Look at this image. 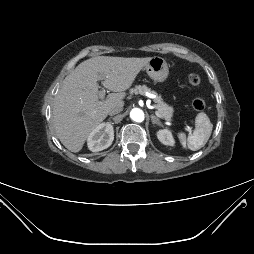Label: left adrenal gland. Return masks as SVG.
<instances>
[{"label":"left adrenal gland","instance_id":"obj_1","mask_svg":"<svg viewBox=\"0 0 254 254\" xmlns=\"http://www.w3.org/2000/svg\"><path fill=\"white\" fill-rule=\"evenodd\" d=\"M151 120L153 125L156 124V125L162 126V123L154 114L151 115Z\"/></svg>","mask_w":254,"mask_h":254}]
</instances>
